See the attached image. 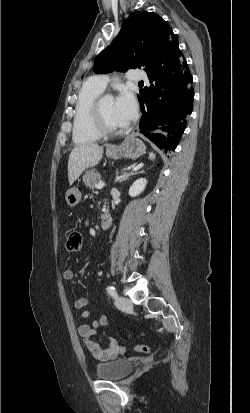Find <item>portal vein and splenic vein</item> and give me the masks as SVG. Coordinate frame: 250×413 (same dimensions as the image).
I'll list each match as a JSON object with an SVG mask.
<instances>
[{"instance_id": "portal-vein-and-splenic-vein-1", "label": "portal vein and splenic vein", "mask_w": 250, "mask_h": 413, "mask_svg": "<svg viewBox=\"0 0 250 413\" xmlns=\"http://www.w3.org/2000/svg\"><path fill=\"white\" fill-rule=\"evenodd\" d=\"M104 186H105V183H104V182H99V183L96 185V188H97V189H102Z\"/></svg>"}]
</instances>
